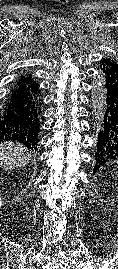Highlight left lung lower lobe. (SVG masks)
<instances>
[{
  "mask_svg": "<svg viewBox=\"0 0 118 269\" xmlns=\"http://www.w3.org/2000/svg\"><path fill=\"white\" fill-rule=\"evenodd\" d=\"M103 126L99 132L94 172L110 160L118 159V93L105 89Z\"/></svg>",
  "mask_w": 118,
  "mask_h": 269,
  "instance_id": "left-lung-lower-lobe-1",
  "label": "left lung lower lobe"
}]
</instances>
